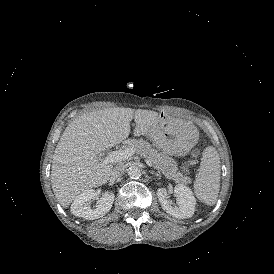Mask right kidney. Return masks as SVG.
<instances>
[{"label":"right kidney","instance_id":"ca27d5eb","mask_svg":"<svg viewBox=\"0 0 274 274\" xmlns=\"http://www.w3.org/2000/svg\"><path fill=\"white\" fill-rule=\"evenodd\" d=\"M97 200L96 208L87 206L92 200ZM115 199L111 191H104L101 195L87 191L77 196L71 206V212L85 220H94L103 217L112 207Z\"/></svg>","mask_w":274,"mask_h":274}]
</instances>
